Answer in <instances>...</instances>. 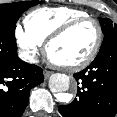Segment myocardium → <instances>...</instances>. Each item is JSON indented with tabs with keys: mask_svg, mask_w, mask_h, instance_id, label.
Wrapping results in <instances>:
<instances>
[{
	"mask_svg": "<svg viewBox=\"0 0 117 117\" xmlns=\"http://www.w3.org/2000/svg\"><path fill=\"white\" fill-rule=\"evenodd\" d=\"M85 22H92L95 25L96 30H97L96 42L90 54L83 60L77 63H73V64H59L53 61L49 55L51 45L54 42L66 36L75 27ZM102 42H103V30L99 21L90 16L81 17V18L74 19L64 24L62 27H60L58 30H56L47 38L45 42V55H46L48 62L55 68L66 71V72H75V71H79V70L86 68L95 60L102 46Z\"/></svg>",
	"mask_w": 117,
	"mask_h": 117,
	"instance_id": "obj_1",
	"label": "myocardium"
}]
</instances>
